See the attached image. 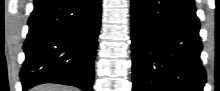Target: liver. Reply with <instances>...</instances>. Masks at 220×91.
<instances>
[{"mask_svg":"<svg viewBox=\"0 0 220 91\" xmlns=\"http://www.w3.org/2000/svg\"><path fill=\"white\" fill-rule=\"evenodd\" d=\"M32 91H77L66 86H59L55 84H44L33 88Z\"/></svg>","mask_w":220,"mask_h":91,"instance_id":"obj_1","label":"liver"}]
</instances>
